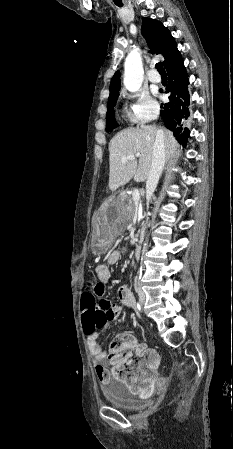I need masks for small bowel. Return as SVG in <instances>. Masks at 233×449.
I'll list each match as a JSON object with an SVG mask.
<instances>
[{
	"instance_id": "small-bowel-1",
	"label": "small bowel",
	"mask_w": 233,
	"mask_h": 449,
	"mask_svg": "<svg viewBox=\"0 0 233 449\" xmlns=\"http://www.w3.org/2000/svg\"><path fill=\"white\" fill-rule=\"evenodd\" d=\"M121 251L115 250L111 252L107 258L106 264H100L96 267V272L92 273L97 279L93 281V287L88 289L90 294L95 293V301L98 307L105 308V313L109 315L104 317L103 328H83L87 336V343L93 358L95 373L102 384L109 382L110 373H112L119 381L126 382L123 376L124 372L131 367L133 375H129V384L133 390V399H150V390L154 389V376L159 375V356L157 352L146 345L140 343L135 338H128L120 347L118 353L114 356V360L108 357L107 352L101 346L99 335L105 331L110 322L119 317L122 307L106 299L107 289L103 287L112 279V273L109 265H113L121 258ZM119 301L124 306L131 307L133 304V294L129 286L123 285L118 290ZM113 314V315H112ZM111 315V316H110ZM83 321V319H82ZM140 358L139 363L133 367V358ZM109 361L112 365V371L109 372L105 366ZM115 361H120L117 366Z\"/></svg>"
}]
</instances>
